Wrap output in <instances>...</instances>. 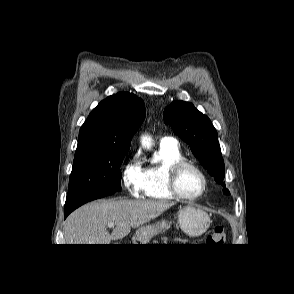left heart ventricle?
I'll return each instance as SVG.
<instances>
[{
	"instance_id": "left-heart-ventricle-1",
	"label": "left heart ventricle",
	"mask_w": 294,
	"mask_h": 294,
	"mask_svg": "<svg viewBox=\"0 0 294 294\" xmlns=\"http://www.w3.org/2000/svg\"><path fill=\"white\" fill-rule=\"evenodd\" d=\"M178 187L184 195L194 196L202 189V179L193 169L185 168L179 175Z\"/></svg>"
}]
</instances>
